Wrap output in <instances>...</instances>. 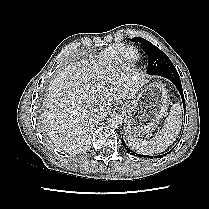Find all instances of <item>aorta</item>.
Returning a JSON list of instances; mask_svg holds the SVG:
<instances>
[{"label":"aorta","mask_w":209,"mask_h":209,"mask_svg":"<svg viewBox=\"0 0 209 209\" xmlns=\"http://www.w3.org/2000/svg\"><path fill=\"white\" fill-rule=\"evenodd\" d=\"M123 118L119 114H111L108 118V124L112 128H118L122 126Z\"/></svg>","instance_id":"1"}]
</instances>
